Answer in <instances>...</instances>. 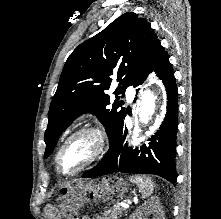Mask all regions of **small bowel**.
Listing matches in <instances>:
<instances>
[{"mask_svg":"<svg viewBox=\"0 0 221 219\" xmlns=\"http://www.w3.org/2000/svg\"><path fill=\"white\" fill-rule=\"evenodd\" d=\"M86 219H89V218H86ZM96 219H106V218H96Z\"/></svg>","mask_w":221,"mask_h":219,"instance_id":"c3829d8e","label":"small bowel"}]
</instances>
